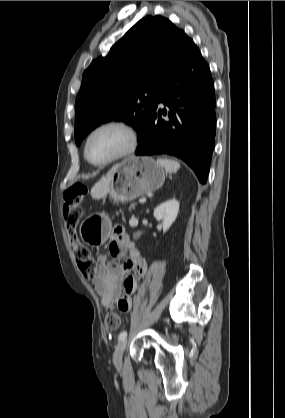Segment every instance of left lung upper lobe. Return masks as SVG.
I'll return each instance as SVG.
<instances>
[{
	"mask_svg": "<svg viewBox=\"0 0 285 418\" xmlns=\"http://www.w3.org/2000/svg\"><path fill=\"white\" fill-rule=\"evenodd\" d=\"M184 35L167 18L147 16L131 27L106 57L92 61L75 102L76 145L111 120L130 124L139 142L142 140Z\"/></svg>",
	"mask_w": 285,
	"mask_h": 418,
	"instance_id": "obj_1",
	"label": "left lung upper lobe"
}]
</instances>
